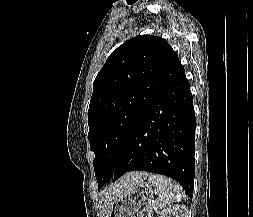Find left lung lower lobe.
<instances>
[{
    "mask_svg": "<svg viewBox=\"0 0 253 217\" xmlns=\"http://www.w3.org/2000/svg\"><path fill=\"white\" fill-rule=\"evenodd\" d=\"M195 112L185 70L132 124L113 172V182L133 170L178 181L192 196L195 163Z\"/></svg>",
    "mask_w": 253,
    "mask_h": 217,
    "instance_id": "left-lung-lower-lobe-1",
    "label": "left lung lower lobe"
}]
</instances>
